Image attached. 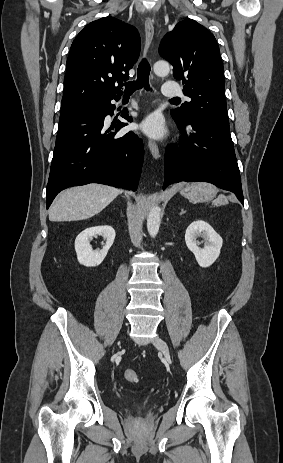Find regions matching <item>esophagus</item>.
I'll return each mask as SVG.
<instances>
[{
    "mask_svg": "<svg viewBox=\"0 0 283 463\" xmlns=\"http://www.w3.org/2000/svg\"><path fill=\"white\" fill-rule=\"evenodd\" d=\"M153 37H154V21H153L152 18L148 17V18H146V21H145L144 55L148 52V50H149V48L151 46ZM148 147H149V150H150L152 156L155 159H158L160 155H159V149H158L157 144L154 141L149 140L148 141Z\"/></svg>",
    "mask_w": 283,
    "mask_h": 463,
    "instance_id": "esophagus-1",
    "label": "esophagus"
}]
</instances>
